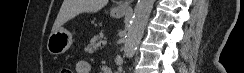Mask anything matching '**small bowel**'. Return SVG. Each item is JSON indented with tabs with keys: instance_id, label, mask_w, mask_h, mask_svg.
I'll use <instances>...</instances> for the list:
<instances>
[{
	"instance_id": "1",
	"label": "small bowel",
	"mask_w": 244,
	"mask_h": 73,
	"mask_svg": "<svg viewBox=\"0 0 244 73\" xmlns=\"http://www.w3.org/2000/svg\"><path fill=\"white\" fill-rule=\"evenodd\" d=\"M76 73H90L91 72V65L89 62L81 60L76 63Z\"/></svg>"
}]
</instances>
